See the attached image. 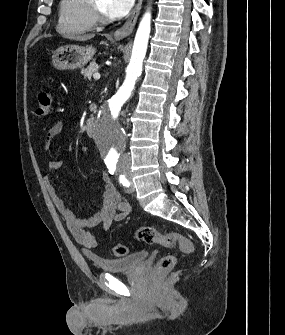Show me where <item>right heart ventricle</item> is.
<instances>
[{"instance_id":"obj_1","label":"right heart ventricle","mask_w":285,"mask_h":335,"mask_svg":"<svg viewBox=\"0 0 285 335\" xmlns=\"http://www.w3.org/2000/svg\"><path fill=\"white\" fill-rule=\"evenodd\" d=\"M95 26L94 1H62L57 31L64 37L78 39Z\"/></svg>"}]
</instances>
